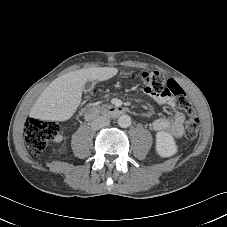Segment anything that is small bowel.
<instances>
[{
	"mask_svg": "<svg viewBox=\"0 0 227 227\" xmlns=\"http://www.w3.org/2000/svg\"><path fill=\"white\" fill-rule=\"evenodd\" d=\"M151 96L159 105L175 109L173 118L160 117L155 119L152 122L153 130L167 132L174 137H180L183 134L185 115L180 110L176 109L174 97L172 95ZM56 140L60 141L61 136H58Z\"/></svg>",
	"mask_w": 227,
	"mask_h": 227,
	"instance_id": "obj_1",
	"label": "small bowel"
}]
</instances>
